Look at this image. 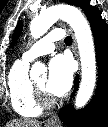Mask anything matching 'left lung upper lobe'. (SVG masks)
I'll return each instance as SVG.
<instances>
[{"mask_svg":"<svg viewBox=\"0 0 108 127\" xmlns=\"http://www.w3.org/2000/svg\"><path fill=\"white\" fill-rule=\"evenodd\" d=\"M63 1L66 3L72 4V5L78 6V7L81 5L82 2H84L83 0H63ZM21 30H22V23L19 22L13 34L12 46L15 44L16 39H18Z\"/></svg>","mask_w":108,"mask_h":127,"instance_id":"obj_1","label":"left lung upper lobe"}]
</instances>
